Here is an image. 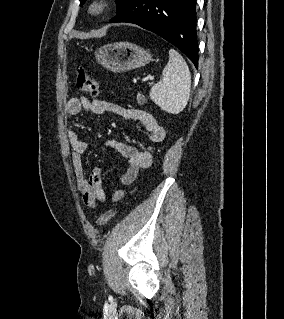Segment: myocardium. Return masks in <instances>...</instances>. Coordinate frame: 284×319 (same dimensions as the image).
<instances>
[{"instance_id":"1","label":"myocardium","mask_w":284,"mask_h":319,"mask_svg":"<svg viewBox=\"0 0 284 319\" xmlns=\"http://www.w3.org/2000/svg\"><path fill=\"white\" fill-rule=\"evenodd\" d=\"M110 7V0H91L88 5V14L93 18H101L106 15Z\"/></svg>"}]
</instances>
